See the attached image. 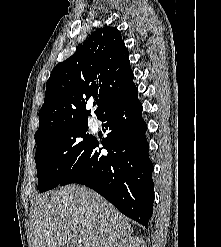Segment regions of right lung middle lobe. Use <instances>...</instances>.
I'll return each instance as SVG.
<instances>
[{
    "label": "right lung middle lobe",
    "mask_w": 221,
    "mask_h": 247,
    "mask_svg": "<svg viewBox=\"0 0 221 247\" xmlns=\"http://www.w3.org/2000/svg\"><path fill=\"white\" fill-rule=\"evenodd\" d=\"M87 129V121H77L35 138L37 189L40 192L57 187L82 155L92 139Z\"/></svg>",
    "instance_id": "1"
}]
</instances>
